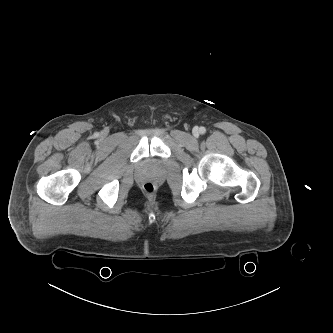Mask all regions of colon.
<instances>
[{
  "label": "colon",
  "mask_w": 333,
  "mask_h": 333,
  "mask_svg": "<svg viewBox=\"0 0 333 333\" xmlns=\"http://www.w3.org/2000/svg\"><path fill=\"white\" fill-rule=\"evenodd\" d=\"M143 189H144V191H145L147 194L151 195V194H153L154 191H155V186H154V184L151 183V182H146V183H144V185H143Z\"/></svg>",
  "instance_id": "obj_1"
}]
</instances>
